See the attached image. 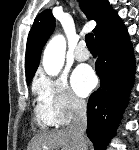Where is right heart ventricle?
I'll use <instances>...</instances> for the list:
<instances>
[{
    "label": "right heart ventricle",
    "mask_w": 139,
    "mask_h": 150,
    "mask_svg": "<svg viewBox=\"0 0 139 150\" xmlns=\"http://www.w3.org/2000/svg\"><path fill=\"white\" fill-rule=\"evenodd\" d=\"M34 112L35 122L40 128L47 129L54 125L50 114L40 102L36 105Z\"/></svg>",
    "instance_id": "1"
}]
</instances>
